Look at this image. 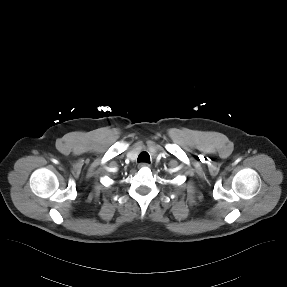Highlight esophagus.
I'll list each match as a JSON object with an SVG mask.
<instances>
[{
  "label": "esophagus",
  "mask_w": 287,
  "mask_h": 287,
  "mask_svg": "<svg viewBox=\"0 0 287 287\" xmlns=\"http://www.w3.org/2000/svg\"><path fill=\"white\" fill-rule=\"evenodd\" d=\"M151 165L147 162H141L138 164V167L139 168H143V167H150Z\"/></svg>",
  "instance_id": "obj_1"
}]
</instances>
